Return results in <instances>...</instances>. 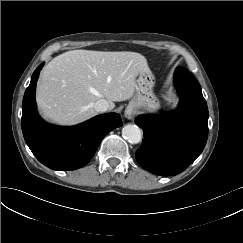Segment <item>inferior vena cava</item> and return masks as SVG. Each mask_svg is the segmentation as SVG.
Segmentation results:
<instances>
[{
	"label": "inferior vena cava",
	"instance_id": "inferior-vena-cava-1",
	"mask_svg": "<svg viewBox=\"0 0 243 243\" xmlns=\"http://www.w3.org/2000/svg\"><path fill=\"white\" fill-rule=\"evenodd\" d=\"M94 109L97 112H105V111H107L109 109V103L105 99L97 100L94 103Z\"/></svg>",
	"mask_w": 243,
	"mask_h": 243
}]
</instances>
